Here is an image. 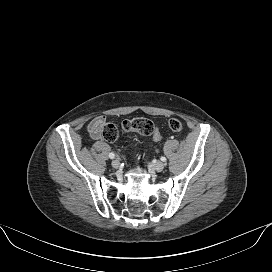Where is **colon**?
Returning a JSON list of instances; mask_svg holds the SVG:
<instances>
[{
	"mask_svg": "<svg viewBox=\"0 0 272 272\" xmlns=\"http://www.w3.org/2000/svg\"><path fill=\"white\" fill-rule=\"evenodd\" d=\"M168 127L170 130L177 132L183 128L182 122L177 118H171L168 121ZM122 132H137L143 136H151L155 141H160L162 135L155 126V124L143 117L128 119L121 124ZM120 130L112 123H108L103 127L102 137L108 141L113 142L118 139Z\"/></svg>",
	"mask_w": 272,
	"mask_h": 272,
	"instance_id": "5ec220e1",
	"label": "colon"
}]
</instances>
